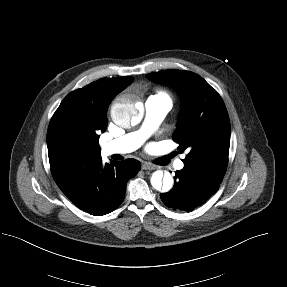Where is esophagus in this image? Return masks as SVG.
<instances>
[{
	"label": "esophagus",
	"instance_id": "1",
	"mask_svg": "<svg viewBox=\"0 0 287 287\" xmlns=\"http://www.w3.org/2000/svg\"><path fill=\"white\" fill-rule=\"evenodd\" d=\"M142 169L143 170H154V169H156V166L150 162H144L142 164Z\"/></svg>",
	"mask_w": 287,
	"mask_h": 287
}]
</instances>
